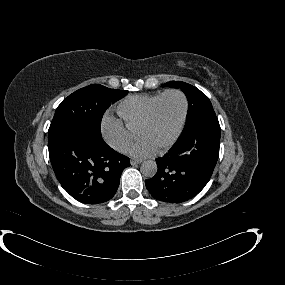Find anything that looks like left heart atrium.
<instances>
[{"label":"left heart atrium","instance_id":"left-heart-atrium-1","mask_svg":"<svg viewBox=\"0 0 285 285\" xmlns=\"http://www.w3.org/2000/svg\"><path fill=\"white\" fill-rule=\"evenodd\" d=\"M155 146L148 142L145 138L139 137L128 147L127 151L135 157H146L155 151Z\"/></svg>","mask_w":285,"mask_h":285}]
</instances>
